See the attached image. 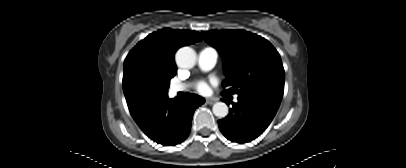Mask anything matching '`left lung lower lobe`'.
I'll use <instances>...</instances> for the list:
<instances>
[{
    "label": "left lung lower lobe",
    "mask_w": 406,
    "mask_h": 168,
    "mask_svg": "<svg viewBox=\"0 0 406 168\" xmlns=\"http://www.w3.org/2000/svg\"><path fill=\"white\" fill-rule=\"evenodd\" d=\"M280 103L281 100L268 96L238 97L229 115L218 121L219 128L232 142H250L266 130Z\"/></svg>",
    "instance_id": "0a47b994"
}]
</instances>
